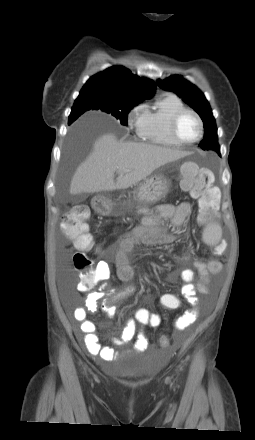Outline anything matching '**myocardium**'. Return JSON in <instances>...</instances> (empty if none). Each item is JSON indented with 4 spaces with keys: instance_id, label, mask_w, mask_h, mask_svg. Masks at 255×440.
I'll list each match as a JSON object with an SVG mask.
<instances>
[{
    "instance_id": "obj_1",
    "label": "myocardium",
    "mask_w": 255,
    "mask_h": 440,
    "mask_svg": "<svg viewBox=\"0 0 255 440\" xmlns=\"http://www.w3.org/2000/svg\"><path fill=\"white\" fill-rule=\"evenodd\" d=\"M185 114H191V115H193V116L196 118V120H197V122H198V125H199V134H198L197 138L194 139V140H192V141H185L184 139L181 138V136H180L179 133H178V125H179V122H180L181 118H182ZM170 130H171V134H172L174 140H175L178 144H180V145H186V146H188V145H193V144L199 142V141L202 139V137H203V135H204V123H203V120H202L201 116H200L195 110H193V109H191V108H186V107H185V108H183V109L177 111V112L174 114V116H173V118H172V120H171Z\"/></svg>"
}]
</instances>
